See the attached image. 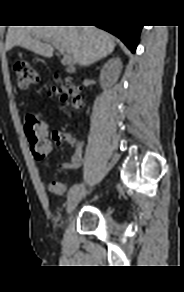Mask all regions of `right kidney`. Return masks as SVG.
<instances>
[{"label": "right kidney", "mask_w": 184, "mask_h": 292, "mask_svg": "<svg viewBox=\"0 0 184 292\" xmlns=\"http://www.w3.org/2000/svg\"><path fill=\"white\" fill-rule=\"evenodd\" d=\"M122 62L120 58H112L105 63L100 72L101 87L106 89L112 87L120 76Z\"/></svg>", "instance_id": "obj_1"}]
</instances>
